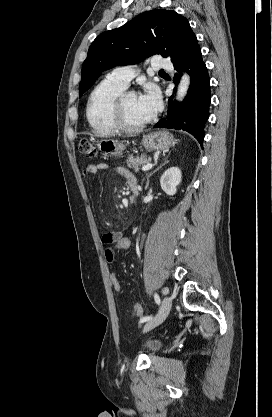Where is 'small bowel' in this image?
Returning <instances> with one entry per match:
<instances>
[{
	"mask_svg": "<svg viewBox=\"0 0 272 417\" xmlns=\"http://www.w3.org/2000/svg\"><path fill=\"white\" fill-rule=\"evenodd\" d=\"M109 169L108 164L104 163V162H100L97 164H90L87 165L84 170H83V174L84 176L88 177L91 175L96 174L98 171H106ZM118 172L123 175L124 177H126L129 182H133L136 181L135 177L126 169L124 168H119ZM123 234L119 231H110V232H106L101 236V242L103 245L107 246L113 239L122 236ZM143 309L141 308V313H142Z\"/></svg>",
	"mask_w": 272,
	"mask_h": 417,
	"instance_id": "small-bowel-1",
	"label": "small bowel"
}]
</instances>
